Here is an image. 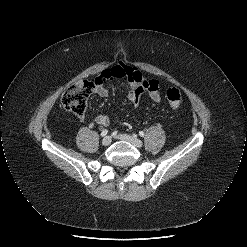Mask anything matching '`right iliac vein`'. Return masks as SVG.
Instances as JSON below:
<instances>
[{
  "mask_svg": "<svg viewBox=\"0 0 247 247\" xmlns=\"http://www.w3.org/2000/svg\"><path fill=\"white\" fill-rule=\"evenodd\" d=\"M111 142H112L111 137H110V136H106V137H105V138H103V140H102V145H104V146H108V145H110V144H111Z\"/></svg>",
  "mask_w": 247,
  "mask_h": 247,
  "instance_id": "obj_1",
  "label": "right iliac vein"
}]
</instances>
